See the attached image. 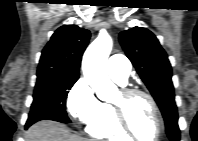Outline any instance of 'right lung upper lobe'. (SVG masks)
I'll return each mask as SVG.
<instances>
[{
  "mask_svg": "<svg viewBox=\"0 0 198 141\" xmlns=\"http://www.w3.org/2000/svg\"><path fill=\"white\" fill-rule=\"evenodd\" d=\"M90 32L76 25H64L55 31L42 51L37 75L79 76L83 52Z\"/></svg>",
  "mask_w": 198,
  "mask_h": 141,
  "instance_id": "1",
  "label": "right lung upper lobe"
}]
</instances>
